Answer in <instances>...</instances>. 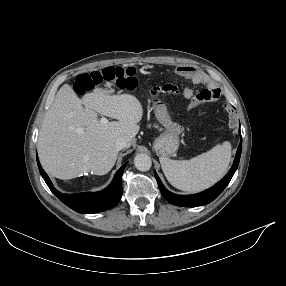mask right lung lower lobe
I'll use <instances>...</instances> for the list:
<instances>
[{"label":"right lung lower lobe","instance_id":"98d812e1","mask_svg":"<svg viewBox=\"0 0 286 286\" xmlns=\"http://www.w3.org/2000/svg\"><path fill=\"white\" fill-rule=\"evenodd\" d=\"M39 171L52 193L65 205L79 213H96L113 208L122 197L121 176L126 164L116 172L111 184L100 192H86L78 194H62L57 191L37 157Z\"/></svg>","mask_w":286,"mask_h":286}]
</instances>
